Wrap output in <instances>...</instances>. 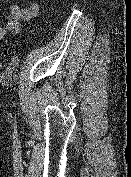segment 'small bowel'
Instances as JSON below:
<instances>
[{
	"mask_svg": "<svg viewBox=\"0 0 131 177\" xmlns=\"http://www.w3.org/2000/svg\"><path fill=\"white\" fill-rule=\"evenodd\" d=\"M38 14L39 6L34 1H30L26 7L18 5L12 6L4 25H0V41L3 40L8 33L17 34L23 23L29 22Z\"/></svg>",
	"mask_w": 131,
	"mask_h": 177,
	"instance_id": "obj_1",
	"label": "small bowel"
}]
</instances>
